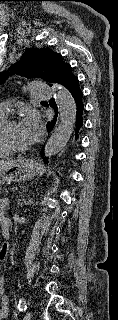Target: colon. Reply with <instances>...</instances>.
Returning a JSON list of instances; mask_svg holds the SVG:
<instances>
[{"label": "colon", "instance_id": "1", "mask_svg": "<svg viewBox=\"0 0 118 320\" xmlns=\"http://www.w3.org/2000/svg\"><path fill=\"white\" fill-rule=\"evenodd\" d=\"M4 258V254L0 253V260Z\"/></svg>", "mask_w": 118, "mask_h": 320}]
</instances>
